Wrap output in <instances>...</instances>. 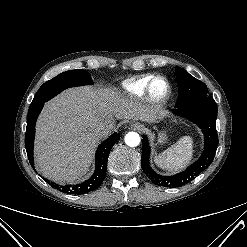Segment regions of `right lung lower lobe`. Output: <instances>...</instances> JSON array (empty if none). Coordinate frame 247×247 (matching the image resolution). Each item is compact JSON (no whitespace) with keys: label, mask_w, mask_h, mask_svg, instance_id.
Masks as SVG:
<instances>
[{"label":"right lung lower lobe","mask_w":247,"mask_h":247,"mask_svg":"<svg viewBox=\"0 0 247 247\" xmlns=\"http://www.w3.org/2000/svg\"><path fill=\"white\" fill-rule=\"evenodd\" d=\"M44 104H40L36 107H30L27 117V128L25 134V147L28 155V159L32 167L34 168L33 160V144L35 137V124L39 113L41 112ZM120 136L115 132L107 140L99 145L95 155L96 169L92 177L85 182L77 185H58L46 180L52 187L58 189L61 192L69 194H85L97 189L104 180L107 171V161L110 150Z\"/></svg>","instance_id":"98d812e1"}]
</instances>
